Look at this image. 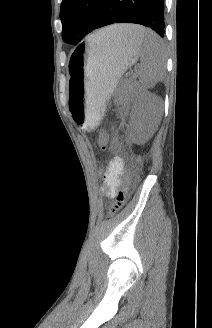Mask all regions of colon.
<instances>
[{
    "label": "colon",
    "mask_w": 212,
    "mask_h": 328,
    "mask_svg": "<svg viewBox=\"0 0 212 328\" xmlns=\"http://www.w3.org/2000/svg\"><path fill=\"white\" fill-rule=\"evenodd\" d=\"M96 146L100 149H106L107 146H110L113 149H116L118 146V142L116 140H110L109 133L105 130H100L98 133ZM133 171H131L127 177L125 178L121 188L115 195V201L109 209V215L113 216L118 213L123 206L129 195V190L131 187Z\"/></svg>",
    "instance_id": "5ec220e1"
}]
</instances>
